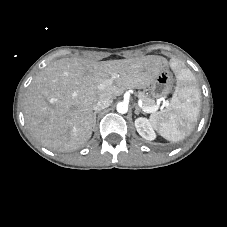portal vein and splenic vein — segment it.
Wrapping results in <instances>:
<instances>
[{"mask_svg": "<svg viewBox=\"0 0 227 227\" xmlns=\"http://www.w3.org/2000/svg\"><path fill=\"white\" fill-rule=\"evenodd\" d=\"M109 84H112V79H109V80L105 81L104 83L100 84L99 88L103 89L104 87H106ZM165 106H168V103H166ZM158 108H159L158 105H155L153 107H143L142 106V110L146 113L156 112L158 110Z\"/></svg>", "mask_w": 227, "mask_h": 227, "instance_id": "1", "label": "portal vein and splenic vein"}]
</instances>
